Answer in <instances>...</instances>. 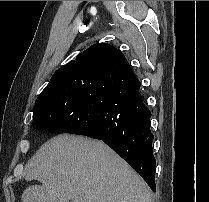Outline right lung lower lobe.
<instances>
[{"mask_svg":"<svg viewBox=\"0 0 209 202\" xmlns=\"http://www.w3.org/2000/svg\"><path fill=\"white\" fill-rule=\"evenodd\" d=\"M129 64L86 85L81 103L62 129L102 140L132 166L155 191V166L149 109Z\"/></svg>","mask_w":209,"mask_h":202,"instance_id":"obj_1","label":"right lung lower lobe"}]
</instances>
